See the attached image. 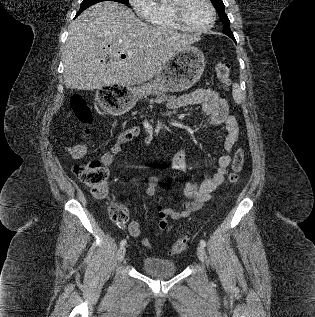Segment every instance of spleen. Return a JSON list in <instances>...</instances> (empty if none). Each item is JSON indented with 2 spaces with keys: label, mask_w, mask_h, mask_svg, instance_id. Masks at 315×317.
<instances>
[{
  "label": "spleen",
  "mask_w": 315,
  "mask_h": 317,
  "mask_svg": "<svg viewBox=\"0 0 315 317\" xmlns=\"http://www.w3.org/2000/svg\"><path fill=\"white\" fill-rule=\"evenodd\" d=\"M233 98L237 103H241L242 101V92L240 90V87L238 84L234 83L233 84Z\"/></svg>",
  "instance_id": "3e777b00"
}]
</instances>
